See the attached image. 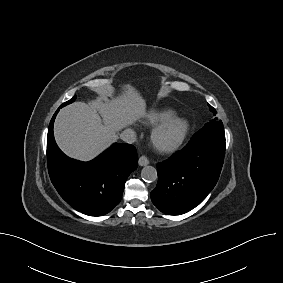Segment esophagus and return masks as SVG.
Returning <instances> with one entry per match:
<instances>
[{
    "instance_id": "1",
    "label": "esophagus",
    "mask_w": 283,
    "mask_h": 283,
    "mask_svg": "<svg viewBox=\"0 0 283 283\" xmlns=\"http://www.w3.org/2000/svg\"><path fill=\"white\" fill-rule=\"evenodd\" d=\"M140 166H146L149 164V160L146 156H141L138 160Z\"/></svg>"
}]
</instances>
